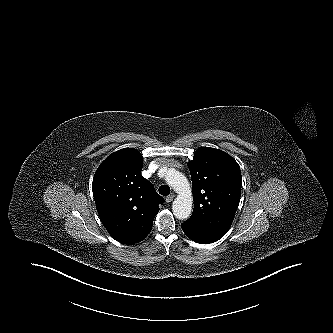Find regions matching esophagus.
Listing matches in <instances>:
<instances>
[{
	"instance_id": "34e87169",
	"label": "esophagus",
	"mask_w": 333,
	"mask_h": 333,
	"mask_svg": "<svg viewBox=\"0 0 333 333\" xmlns=\"http://www.w3.org/2000/svg\"><path fill=\"white\" fill-rule=\"evenodd\" d=\"M174 197H175L174 194H170V195H168V196L166 197V199H165L166 203H170V202H172L173 199H174Z\"/></svg>"
}]
</instances>
